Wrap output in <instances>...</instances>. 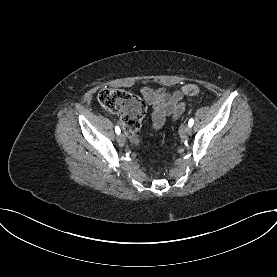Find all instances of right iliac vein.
<instances>
[{
    "label": "right iliac vein",
    "mask_w": 277,
    "mask_h": 277,
    "mask_svg": "<svg viewBox=\"0 0 277 277\" xmlns=\"http://www.w3.org/2000/svg\"><path fill=\"white\" fill-rule=\"evenodd\" d=\"M117 141H118L119 143H121V144H124V143L126 142V137H125V135H124L123 133L119 134V135L117 136Z\"/></svg>",
    "instance_id": "obj_1"
}]
</instances>
